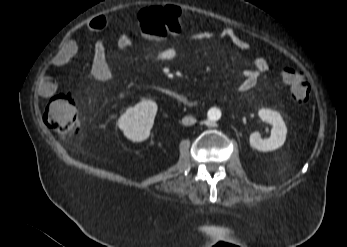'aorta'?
<instances>
[{
    "mask_svg": "<svg viewBox=\"0 0 347 247\" xmlns=\"http://www.w3.org/2000/svg\"><path fill=\"white\" fill-rule=\"evenodd\" d=\"M221 117V111L217 108H211L208 111V121L209 122H216Z\"/></svg>",
    "mask_w": 347,
    "mask_h": 247,
    "instance_id": "obj_1",
    "label": "aorta"
}]
</instances>
